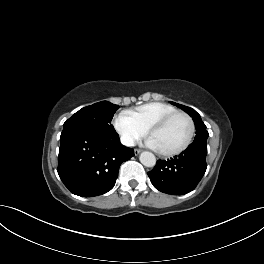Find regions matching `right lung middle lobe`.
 I'll return each mask as SVG.
<instances>
[{
  "mask_svg": "<svg viewBox=\"0 0 264 264\" xmlns=\"http://www.w3.org/2000/svg\"><path fill=\"white\" fill-rule=\"evenodd\" d=\"M119 108L108 101H102L93 105L84 107L76 112L71 118L63 124L64 128L79 127L92 130L115 132L111 120Z\"/></svg>",
  "mask_w": 264,
  "mask_h": 264,
  "instance_id": "right-lung-middle-lobe-1",
  "label": "right lung middle lobe"
}]
</instances>
